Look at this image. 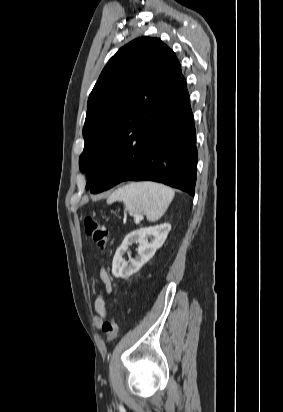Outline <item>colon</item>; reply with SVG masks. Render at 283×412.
<instances>
[{
	"label": "colon",
	"instance_id": "5ec220e1",
	"mask_svg": "<svg viewBox=\"0 0 283 412\" xmlns=\"http://www.w3.org/2000/svg\"><path fill=\"white\" fill-rule=\"evenodd\" d=\"M84 227L86 234L91 237L101 251H104L110 242L109 232L103 227L94 214L84 215ZM98 299H102L99 296ZM102 331L108 341H113L118 335V325L112 316H108L102 325Z\"/></svg>",
	"mask_w": 283,
	"mask_h": 412
}]
</instances>
